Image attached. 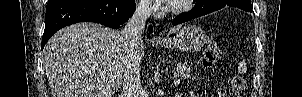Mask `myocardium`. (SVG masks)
I'll use <instances>...</instances> for the list:
<instances>
[{
	"instance_id": "obj_1",
	"label": "myocardium",
	"mask_w": 302,
	"mask_h": 97,
	"mask_svg": "<svg viewBox=\"0 0 302 97\" xmlns=\"http://www.w3.org/2000/svg\"><path fill=\"white\" fill-rule=\"evenodd\" d=\"M192 2L193 0H182L167 6V10L173 14H181L190 8Z\"/></svg>"
}]
</instances>
